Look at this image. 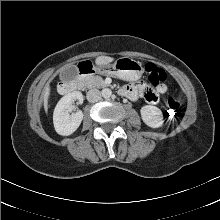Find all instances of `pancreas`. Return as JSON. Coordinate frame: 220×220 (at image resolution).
I'll list each match as a JSON object with an SVG mask.
<instances>
[{
  "mask_svg": "<svg viewBox=\"0 0 220 220\" xmlns=\"http://www.w3.org/2000/svg\"><path fill=\"white\" fill-rule=\"evenodd\" d=\"M81 81L82 84L88 89L106 87V83L101 76H87Z\"/></svg>",
  "mask_w": 220,
  "mask_h": 220,
  "instance_id": "pancreas-1",
  "label": "pancreas"
}]
</instances>
